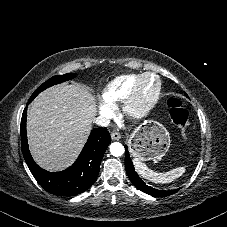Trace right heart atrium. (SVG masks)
<instances>
[{
  "instance_id": "d8ad5b80",
  "label": "right heart atrium",
  "mask_w": 227,
  "mask_h": 227,
  "mask_svg": "<svg viewBox=\"0 0 227 227\" xmlns=\"http://www.w3.org/2000/svg\"><path fill=\"white\" fill-rule=\"evenodd\" d=\"M99 110L101 112H109L111 110V107L107 104H102L100 105Z\"/></svg>"
}]
</instances>
